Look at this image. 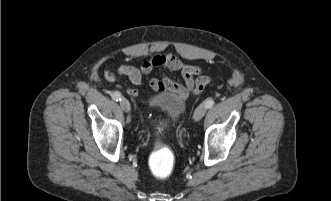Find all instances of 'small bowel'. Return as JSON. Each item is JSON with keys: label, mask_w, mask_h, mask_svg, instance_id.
Segmentation results:
<instances>
[{"label": "small bowel", "mask_w": 331, "mask_h": 201, "mask_svg": "<svg viewBox=\"0 0 331 201\" xmlns=\"http://www.w3.org/2000/svg\"><path fill=\"white\" fill-rule=\"evenodd\" d=\"M180 72L182 81L177 82L170 79L167 75L162 74L161 77H150L149 85L156 92L174 91L180 96L186 98L190 91L195 88L197 80L196 76L201 74V69L197 66L185 64L177 56L173 54L155 55L152 58L145 60L140 68L130 64H122L115 72L106 71L105 78L108 81H114L119 76L125 77L133 87L128 89V93L132 97L138 96V90L135 88L142 83L143 75L150 76L155 70Z\"/></svg>", "instance_id": "small-bowel-1"}]
</instances>
